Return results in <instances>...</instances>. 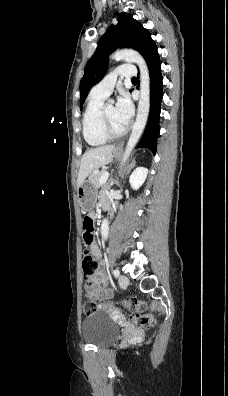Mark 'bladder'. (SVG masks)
<instances>
[{
    "label": "bladder",
    "mask_w": 228,
    "mask_h": 396,
    "mask_svg": "<svg viewBox=\"0 0 228 396\" xmlns=\"http://www.w3.org/2000/svg\"><path fill=\"white\" fill-rule=\"evenodd\" d=\"M82 338L86 343L103 347L115 342L120 335L119 327L105 312L87 315L81 324Z\"/></svg>",
    "instance_id": "1"
}]
</instances>
